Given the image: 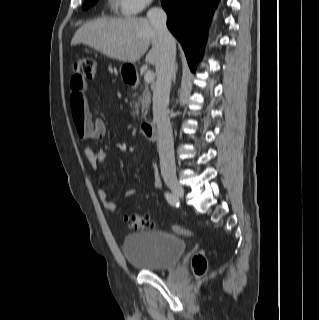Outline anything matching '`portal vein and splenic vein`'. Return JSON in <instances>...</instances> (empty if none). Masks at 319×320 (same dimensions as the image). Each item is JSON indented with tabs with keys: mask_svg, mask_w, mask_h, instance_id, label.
I'll list each match as a JSON object with an SVG mask.
<instances>
[{
	"mask_svg": "<svg viewBox=\"0 0 319 320\" xmlns=\"http://www.w3.org/2000/svg\"><path fill=\"white\" fill-rule=\"evenodd\" d=\"M154 79H155V74H154V72L151 71V70H147L146 73H145V75H144V80H145V82H146V83H151V82L154 81Z\"/></svg>",
	"mask_w": 319,
	"mask_h": 320,
	"instance_id": "portal-vein-and-splenic-vein-1",
	"label": "portal vein and splenic vein"
}]
</instances>
